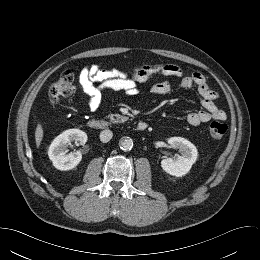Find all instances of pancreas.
<instances>
[{"instance_id":"1","label":"pancreas","mask_w":260,"mask_h":260,"mask_svg":"<svg viewBox=\"0 0 260 260\" xmlns=\"http://www.w3.org/2000/svg\"><path fill=\"white\" fill-rule=\"evenodd\" d=\"M108 118L112 123H123L129 119L128 117L122 116L120 114H110Z\"/></svg>"}]
</instances>
